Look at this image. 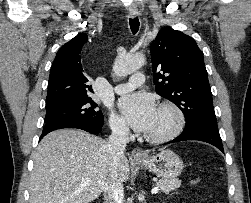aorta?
<instances>
[{
    "label": "aorta",
    "mask_w": 251,
    "mask_h": 203,
    "mask_svg": "<svg viewBox=\"0 0 251 203\" xmlns=\"http://www.w3.org/2000/svg\"><path fill=\"white\" fill-rule=\"evenodd\" d=\"M145 63L143 54H135L117 59L113 65V72L117 76H126L141 68Z\"/></svg>",
    "instance_id": "762f6f07"
}]
</instances>
